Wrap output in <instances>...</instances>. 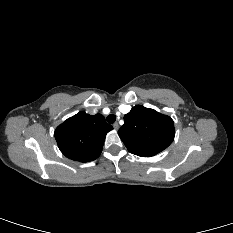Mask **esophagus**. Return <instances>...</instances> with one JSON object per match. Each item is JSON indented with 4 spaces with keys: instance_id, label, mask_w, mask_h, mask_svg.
Returning a JSON list of instances; mask_svg holds the SVG:
<instances>
[{
    "instance_id": "esophagus-1",
    "label": "esophagus",
    "mask_w": 233,
    "mask_h": 233,
    "mask_svg": "<svg viewBox=\"0 0 233 233\" xmlns=\"http://www.w3.org/2000/svg\"><path fill=\"white\" fill-rule=\"evenodd\" d=\"M113 128H114L115 130H118V129H119V124H118L117 122H115V123L113 124Z\"/></svg>"
}]
</instances>
